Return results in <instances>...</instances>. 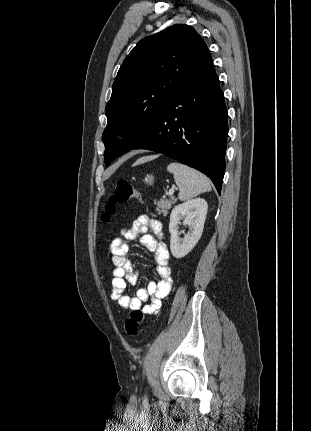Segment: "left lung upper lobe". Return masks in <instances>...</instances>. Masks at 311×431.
I'll return each mask as SVG.
<instances>
[{"mask_svg":"<svg viewBox=\"0 0 311 431\" xmlns=\"http://www.w3.org/2000/svg\"><path fill=\"white\" fill-rule=\"evenodd\" d=\"M202 37L177 24L140 40L123 61L105 107L104 161L135 148L153 132L168 104L208 53ZM123 135L122 141H113Z\"/></svg>","mask_w":311,"mask_h":431,"instance_id":"obj_1","label":"left lung upper lobe"}]
</instances>
